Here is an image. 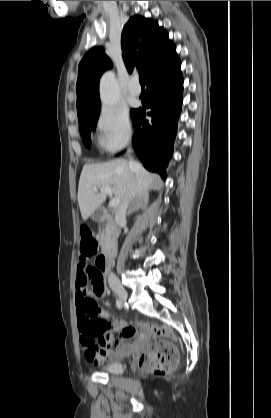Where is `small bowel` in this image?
<instances>
[{
  "mask_svg": "<svg viewBox=\"0 0 271 418\" xmlns=\"http://www.w3.org/2000/svg\"><path fill=\"white\" fill-rule=\"evenodd\" d=\"M105 292L102 267L79 262L75 283L76 313L80 314L79 340L86 360L98 365L108 359H121L142 348L147 341L144 327L103 314V307L95 297L101 298ZM116 331L120 332V340L115 338ZM132 337L135 341L128 344L125 340Z\"/></svg>",
  "mask_w": 271,
  "mask_h": 418,
  "instance_id": "obj_1",
  "label": "small bowel"
}]
</instances>
